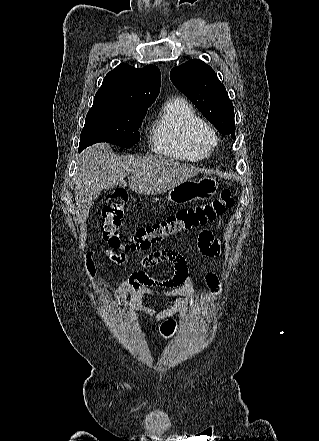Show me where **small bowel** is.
<instances>
[{
  "instance_id": "c3829d8e",
  "label": "small bowel",
  "mask_w": 319,
  "mask_h": 441,
  "mask_svg": "<svg viewBox=\"0 0 319 441\" xmlns=\"http://www.w3.org/2000/svg\"><path fill=\"white\" fill-rule=\"evenodd\" d=\"M199 235L198 247L206 256H216L220 252V244L212 233ZM88 264L92 265V252L87 255ZM161 262H169L173 266V274L167 278H158L147 272ZM142 270L133 272L127 279L118 285L102 290V297L119 307L128 298L132 310L138 311L145 317L161 321L180 312L185 307V302L192 292L191 281L188 276L186 259L172 248H164L146 255L141 261ZM206 286L214 299L221 295L222 288L218 276L207 271L205 274ZM174 298L171 306L159 312L146 307L142 303L143 296Z\"/></svg>"
}]
</instances>
